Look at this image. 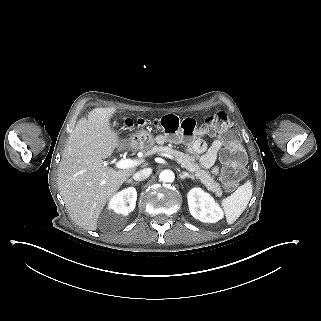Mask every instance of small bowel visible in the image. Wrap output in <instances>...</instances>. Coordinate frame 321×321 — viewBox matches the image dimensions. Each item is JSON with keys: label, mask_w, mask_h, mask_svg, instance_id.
<instances>
[{"label": "small bowel", "mask_w": 321, "mask_h": 321, "mask_svg": "<svg viewBox=\"0 0 321 321\" xmlns=\"http://www.w3.org/2000/svg\"><path fill=\"white\" fill-rule=\"evenodd\" d=\"M222 145L223 141L221 139H217L208 148L205 141L197 139L188 146V152L197 157L204 168H210L214 165L217 154ZM214 172H217L216 168H214Z\"/></svg>", "instance_id": "c3829d8e"}]
</instances>
